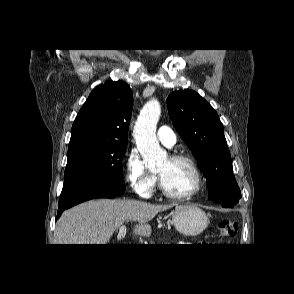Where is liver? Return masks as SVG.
<instances>
[{"label":"liver","mask_w":294,"mask_h":294,"mask_svg":"<svg viewBox=\"0 0 294 294\" xmlns=\"http://www.w3.org/2000/svg\"><path fill=\"white\" fill-rule=\"evenodd\" d=\"M173 205L137 200L97 199L65 211L57 221L55 244H107L125 221H134V233L149 236L148 222Z\"/></svg>","instance_id":"liver-1"}]
</instances>
